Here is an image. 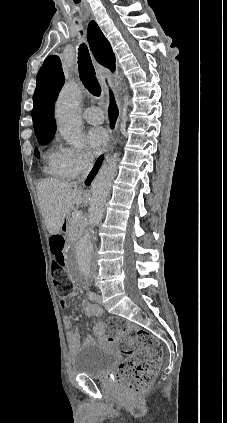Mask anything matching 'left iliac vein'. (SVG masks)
<instances>
[{
    "instance_id": "1",
    "label": "left iliac vein",
    "mask_w": 227,
    "mask_h": 423,
    "mask_svg": "<svg viewBox=\"0 0 227 423\" xmlns=\"http://www.w3.org/2000/svg\"><path fill=\"white\" fill-rule=\"evenodd\" d=\"M97 301H98V303H100V304H102V303H103V299H102V296H101V295H99V296H98Z\"/></svg>"
}]
</instances>
